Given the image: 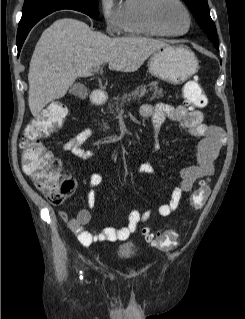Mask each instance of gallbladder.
<instances>
[{
	"label": "gallbladder",
	"instance_id": "obj_1",
	"mask_svg": "<svg viewBox=\"0 0 245 319\" xmlns=\"http://www.w3.org/2000/svg\"><path fill=\"white\" fill-rule=\"evenodd\" d=\"M69 92L72 95H74L76 97H80V98L85 97V96L88 95L87 88L81 83H76V84L72 85L70 87Z\"/></svg>",
	"mask_w": 245,
	"mask_h": 319
}]
</instances>
